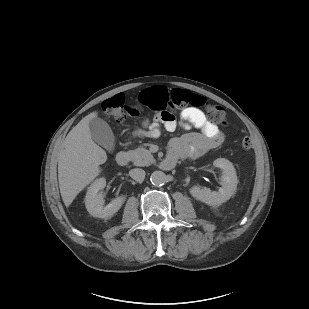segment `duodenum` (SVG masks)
I'll return each mask as SVG.
<instances>
[{
    "mask_svg": "<svg viewBox=\"0 0 309 309\" xmlns=\"http://www.w3.org/2000/svg\"><path fill=\"white\" fill-rule=\"evenodd\" d=\"M116 162L120 166H126L129 163V155L125 151H120L116 156ZM175 166V161L171 159H165L162 162V167L169 170Z\"/></svg>",
    "mask_w": 309,
    "mask_h": 309,
    "instance_id": "1",
    "label": "duodenum"
}]
</instances>
